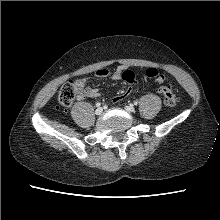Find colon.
Returning <instances> with one entry per match:
<instances>
[{"instance_id":"5ec220e1","label":"colon","mask_w":220,"mask_h":220,"mask_svg":"<svg viewBox=\"0 0 220 220\" xmlns=\"http://www.w3.org/2000/svg\"><path fill=\"white\" fill-rule=\"evenodd\" d=\"M146 76L153 78L160 84L159 93L163 96L164 102L167 106L173 107L177 103V97L169 86L164 85V75H162L157 69L149 68L146 70ZM136 75L132 70H125L121 74V79L127 84L124 94H129L131 85L135 81ZM76 85L73 81L65 83L58 95V104L62 108L70 107L76 98Z\"/></svg>"}]
</instances>
